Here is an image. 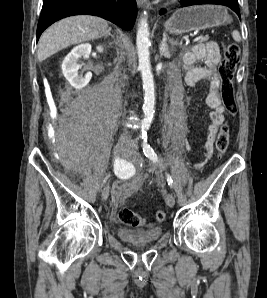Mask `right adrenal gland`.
Here are the masks:
<instances>
[{
	"label": "right adrenal gland",
	"instance_id": "1",
	"mask_svg": "<svg viewBox=\"0 0 267 298\" xmlns=\"http://www.w3.org/2000/svg\"><path fill=\"white\" fill-rule=\"evenodd\" d=\"M110 30H111V29H109V31H107V33H106L104 36H105V37L111 36L112 38H114V36L110 33Z\"/></svg>",
	"mask_w": 267,
	"mask_h": 298
}]
</instances>
